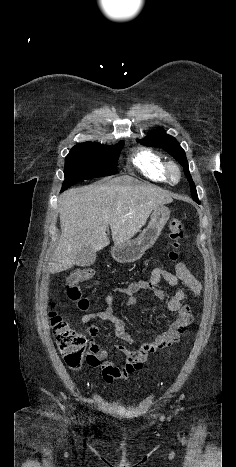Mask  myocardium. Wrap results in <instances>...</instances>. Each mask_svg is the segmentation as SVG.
<instances>
[{
	"label": "myocardium",
	"instance_id": "myocardium-1",
	"mask_svg": "<svg viewBox=\"0 0 236 467\" xmlns=\"http://www.w3.org/2000/svg\"><path fill=\"white\" fill-rule=\"evenodd\" d=\"M165 174L167 179L175 184L178 183L181 178V169L175 162H168L165 166Z\"/></svg>",
	"mask_w": 236,
	"mask_h": 467
}]
</instances>
